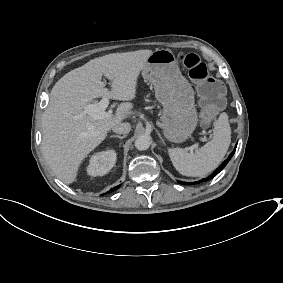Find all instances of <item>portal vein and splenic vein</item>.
<instances>
[{"label":"portal vein and splenic vein","mask_w":283,"mask_h":283,"mask_svg":"<svg viewBox=\"0 0 283 283\" xmlns=\"http://www.w3.org/2000/svg\"><path fill=\"white\" fill-rule=\"evenodd\" d=\"M110 98L108 96H103L101 101L97 104L86 105L84 107V112L90 116L92 119H104L108 115L104 110L109 106ZM191 152L194 150L193 146L188 148Z\"/></svg>","instance_id":"1"}]
</instances>
